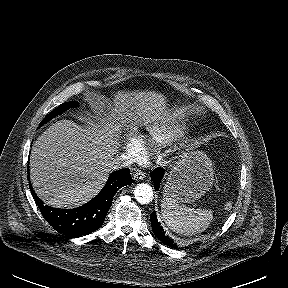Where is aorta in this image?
Listing matches in <instances>:
<instances>
[{
    "mask_svg": "<svg viewBox=\"0 0 288 288\" xmlns=\"http://www.w3.org/2000/svg\"><path fill=\"white\" fill-rule=\"evenodd\" d=\"M153 189L147 183H139L134 188L135 199L140 204H148L153 200Z\"/></svg>",
    "mask_w": 288,
    "mask_h": 288,
    "instance_id": "762f6f07",
    "label": "aorta"
}]
</instances>
